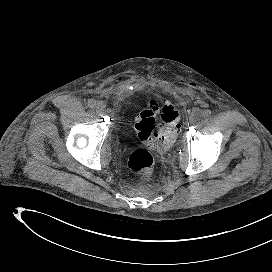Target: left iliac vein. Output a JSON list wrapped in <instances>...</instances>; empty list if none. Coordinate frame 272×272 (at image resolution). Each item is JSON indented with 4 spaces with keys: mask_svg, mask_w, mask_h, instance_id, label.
Wrapping results in <instances>:
<instances>
[{
    "mask_svg": "<svg viewBox=\"0 0 272 272\" xmlns=\"http://www.w3.org/2000/svg\"><path fill=\"white\" fill-rule=\"evenodd\" d=\"M201 113H202V111H201V110H198L196 115L190 116V117H189V123H194V122H196V121L200 118Z\"/></svg>",
    "mask_w": 272,
    "mask_h": 272,
    "instance_id": "obj_1",
    "label": "left iliac vein"
}]
</instances>
